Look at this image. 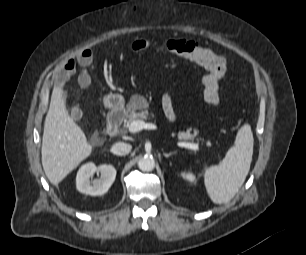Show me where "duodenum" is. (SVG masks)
Here are the masks:
<instances>
[{
  "label": "duodenum",
  "instance_id": "obj_1",
  "mask_svg": "<svg viewBox=\"0 0 306 255\" xmlns=\"http://www.w3.org/2000/svg\"><path fill=\"white\" fill-rule=\"evenodd\" d=\"M124 119V109L119 107V108H113L109 111L107 121H108V127L107 131L108 134L112 137H115L119 129L121 127V124Z\"/></svg>",
  "mask_w": 306,
  "mask_h": 255
}]
</instances>
